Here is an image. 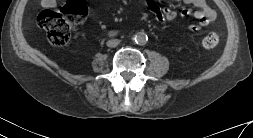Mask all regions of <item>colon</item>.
Returning <instances> with one entry per match:
<instances>
[{"mask_svg": "<svg viewBox=\"0 0 253 138\" xmlns=\"http://www.w3.org/2000/svg\"><path fill=\"white\" fill-rule=\"evenodd\" d=\"M88 14L87 5L82 0H70L60 11L44 10L37 17L38 25L48 32L50 42L57 47L68 44L73 26L81 24ZM219 42L216 33H208L203 46L213 48Z\"/></svg>", "mask_w": 253, "mask_h": 138, "instance_id": "colon-1", "label": "colon"}]
</instances>
